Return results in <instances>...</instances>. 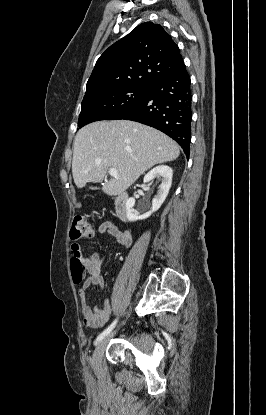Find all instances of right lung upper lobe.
I'll list each match as a JSON object with an SVG mask.
<instances>
[{
    "mask_svg": "<svg viewBox=\"0 0 266 415\" xmlns=\"http://www.w3.org/2000/svg\"><path fill=\"white\" fill-rule=\"evenodd\" d=\"M185 67L178 45L162 26L145 22L97 60L84 97L113 88H149Z\"/></svg>",
    "mask_w": 266,
    "mask_h": 415,
    "instance_id": "1",
    "label": "right lung upper lobe"
}]
</instances>
